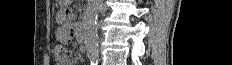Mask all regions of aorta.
I'll use <instances>...</instances> for the list:
<instances>
[{"label": "aorta", "instance_id": "aorta-1", "mask_svg": "<svg viewBox=\"0 0 232 65\" xmlns=\"http://www.w3.org/2000/svg\"><path fill=\"white\" fill-rule=\"evenodd\" d=\"M103 0H88L84 15V36L87 56L94 58L97 56V18L102 7Z\"/></svg>", "mask_w": 232, "mask_h": 65}]
</instances>
